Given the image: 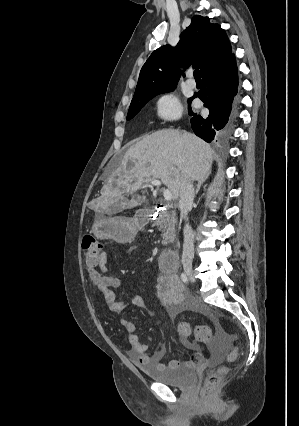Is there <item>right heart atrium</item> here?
<instances>
[{
    "instance_id": "d8ad5b80",
    "label": "right heart atrium",
    "mask_w": 299,
    "mask_h": 426,
    "mask_svg": "<svg viewBox=\"0 0 299 426\" xmlns=\"http://www.w3.org/2000/svg\"><path fill=\"white\" fill-rule=\"evenodd\" d=\"M154 112L162 121H174L180 118L182 106L174 92H165L156 98Z\"/></svg>"
}]
</instances>
